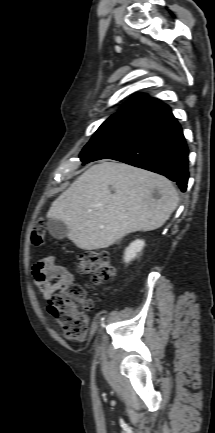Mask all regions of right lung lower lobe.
<instances>
[{
    "instance_id": "right-lung-lower-lobe-1",
    "label": "right lung lower lobe",
    "mask_w": 215,
    "mask_h": 433,
    "mask_svg": "<svg viewBox=\"0 0 215 433\" xmlns=\"http://www.w3.org/2000/svg\"><path fill=\"white\" fill-rule=\"evenodd\" d=\"M107 158L164 175L183 192L187 188L188 148L168 106L148 119L131 142Z\"/></svg>"
}]
</instances>
